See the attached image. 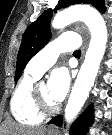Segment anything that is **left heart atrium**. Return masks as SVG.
Returning a JSON list of instances; mask_svg holds the SVG:
<instances>
[{"mask_svg":"<svg viewBox=\"0 0 112 135\" xmlns=\"http://www.w3.org/2000/svg\"><path fill=\"white\" fill-rule=\"evenodd\" d=\"M70 86V75L65 67L52 71L48 82V91L52 100L56 103L63 100Z\"/></svg>","mask_w":112,"mask_h":135,"instance_id":"39dd6f15","label":"left heart atrium"}]
</instances>
